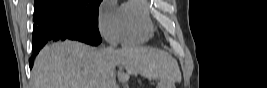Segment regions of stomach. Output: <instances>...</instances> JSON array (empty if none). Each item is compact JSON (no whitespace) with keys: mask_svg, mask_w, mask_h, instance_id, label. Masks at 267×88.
<instances>
[{"mask_svg":"<svg viewBox=\"0 0 267 88\" xmlns=\"http://www.w3.org/2000/svg\"><path fill=\"white\" fill-rule=\"evenodd\" d=\"M156 88H174V84L169 83L165 80H160V82H158Z\"/></svg>","mask_w":267,"mask_h":88,"instance_id":"0dacf381","label":"stomach"}]
</instances>
